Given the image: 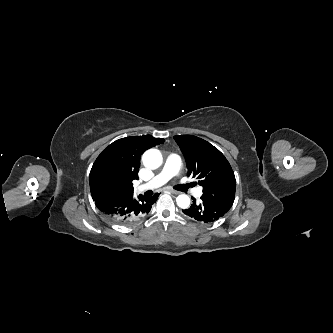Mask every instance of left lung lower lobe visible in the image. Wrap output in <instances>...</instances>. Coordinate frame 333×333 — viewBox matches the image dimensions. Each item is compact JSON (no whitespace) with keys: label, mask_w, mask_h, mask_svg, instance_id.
<instances>
[{"label":"left lung lower lobe","mask_w":333,"mask_h":333,"mask_svg":"<svg viewBox=\"0 0 333 333\" xmlns=\"http://www.w3.org/2000/svg\"><path fill=\"white\" fill-rule=\"evenodd\" d=\"M201 200L200 203H196L194 200L190 208L183 210V212L189 217L205 223L218 220L220 217L224 216L232 206L230 202L213 199L204 195H202Z\"/></svg>","instance_id":"left-lung-lower-lobe-1"}]
</instances>
